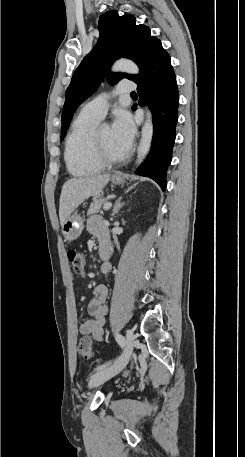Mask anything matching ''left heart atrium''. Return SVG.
<instances>
[{
	"instance_id": "obj_1",
	"label": "left heart atrium",
	"mask_w": 245,
	"mask_h": 457,
	"mask_svg": "<svg viewBox=\"0 0 245 457\" xmlns=\"http://www.w3.org/2000/svg\"><path fill=\"white\" fill-rule=\"evenodd\" d=\"M111 132L120 145L126 150L130 148L134 137V124L129 113L123 110L116 113Z\"/></svg>"
}]
</instances>
